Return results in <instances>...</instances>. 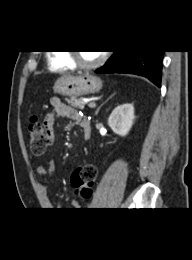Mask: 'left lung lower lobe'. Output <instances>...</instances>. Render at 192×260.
I'll use <instances>...</instances> for the list:
<instances>
[{
    "instance_id": "left-lung-lower-lobe-1",
    "label": "left lung lower lobe",
    "mask_w": 192,
    "mask_h": 260,
    "mask_svg": "<svg viewBox=\"0 0 192 260\" xmlns=\"http://www.w3.org/2000/svg\"><path fill=\"white\" fill-rule=\"evenodd\" d=\"M164 51H116L96 73H130L144 76L161 87Z\"/></svg>"
}]
</instances>
